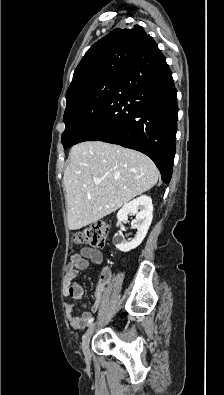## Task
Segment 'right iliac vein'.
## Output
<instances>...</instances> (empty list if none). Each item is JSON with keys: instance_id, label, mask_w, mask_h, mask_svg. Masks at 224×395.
Listing matches in <instances>:
<instances>
[{"instance_id": "obj_1", "label": "right iliac vein", "mask_w": 224, "mask_h": 395, "mask_svg": "<svg viewBox=\"0 0 224 395\" xmlns=\"http://www.w3.org/2000/svg\"><path fill=\"white\" fill-rule=\"evenodd\" d=\"M94 329H95V324H91L82 338L81 347L85 356L90 355L89 343L93 335Z\"/></svg>"}]
</instances>
